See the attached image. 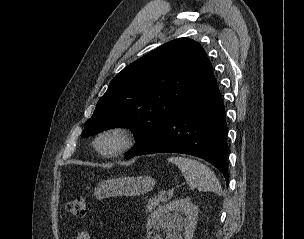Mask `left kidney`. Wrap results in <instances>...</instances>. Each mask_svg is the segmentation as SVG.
<instances>
[{
  "label": "left kidney",
  "instance_id": "5707ae66",
  "mask_svg": "<svg viewBox=\"0 0 304 239\" xmlns=\"http://www.w3.org/2000/svg\"><path fill=\"white\" fill-rule=\"evenodd\" d=\"M198 209L190 199L182 198L169 202L154 211L146 223L147 236L151 228H162L167 232L166 239H192L197 224ZM183 231L184 237L180 232ZM154 239H162L159 235Z\"/></svg>",
  "mask_w": 304,
  "mask_h": 239
}]
</instances>
